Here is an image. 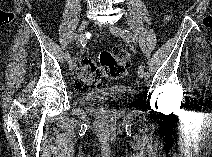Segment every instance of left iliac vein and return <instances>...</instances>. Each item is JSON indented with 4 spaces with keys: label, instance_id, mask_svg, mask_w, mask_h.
Masks as SVG:
<instances>
[{
    "label": "left iliac vein",
    "instance_id": "1",
    "mask_svg": "<svg viewBox=\"0 0 212 157\" xmlns=\"http://www.w3.org/2000/svg\"><path fill=\"white\" fill-rule=\"evenodd\" d=\"M108 29L116 37L122 38V37H125V35H126L125 30H123L115 25H109ZM144 73H145L144 68L142 66H140L138 69L139 78L143 79L145 77Z\"/></svg>",
    "mask_w": 212,
    "mask_h": 157
}]
</instances>
